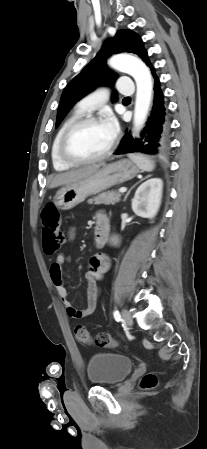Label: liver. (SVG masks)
<instances>
[{
	"label": "liver",
	"mask_w": 207,
	"mask_h": 449,
	"mask_svg": "<svg viewBox=\"0 0 207 449\" xmlns=\"http://www.w3.org/2000/svg\"><path fill=\"white\" fill-rule=\"evenodd\" d=\"M100 168V165H91L81 169L57 174L51 181L49 188L72 184L84 177L91 175Z\"/></svg>",
	"instance_id": "6515ba94"
}]
</instances>
